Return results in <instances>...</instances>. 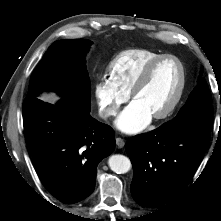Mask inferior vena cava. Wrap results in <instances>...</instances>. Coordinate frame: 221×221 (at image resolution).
Listing matches in <instances>:
<instances>
[{"instance_id":"1","label":"inferior vena cava","mask_w":221,"mask_h":221,"mask_svg":"<svg viewBox=\"0 0 221 221\" xmlns=\"http://www.w3.org/2000/svg\"><path fill=\"white\" fill-rule=\"evenodd\" d=\"M113 113H116L114 109L112 108H107V109H102L99 111V116L103 119L108 118L110 115Z\"/></svg>"}]
</instances>
